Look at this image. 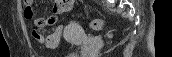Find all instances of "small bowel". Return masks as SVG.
I'll return each instance as SVG.
<instances>
[{"instance_id": "small-bowel-1", "label": "small bowel", "mask_w": 172, "mask_h": 57, "mask_svg": "<svg viewBox=\"0 0 172 57\" xmlns=\"http://www.w3.org/2000/svg\"><path fill=\"white\" fill-rule=\"evenodd\" d=\"M26 7L32 6V0L24 1ZM73 1L70 0H55L52 4V10L55 15L50 16L49 18H35L34 27L32 29V34L36 40L41 44L46 46L49 49H54L58 46L62 32H57L56 30L52 34L45 35L46 30L49 26L54 25L58 20V14L66 12L71 9ZM32 9V8H31ZM33 12V10H32ZM24 17L27 20H30L34 17V13L31 16H28L24 13Z\"/></svg>"}]
</instances>
